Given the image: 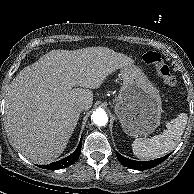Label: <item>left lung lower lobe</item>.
<instances>
[{"label": "left lung lower lobe", "instance_id": "obj_1", "mask_svg": "<svg viewBox=\"0 0 194 194\" xmlns=\"http://www.w3.org/2000/svg\"><path fill=\"white\" fill-rule=\"evenodd\" d=\"M116 155L120 163L126 167L135 169V170H146L161 164L163 161H165V159L168 158L170 154L151 161H134V160L125 158L124 156L120 155L118 152H116Z\"/></svg>", "mask_w": 194, "mask_h": 194}]
</instances>
